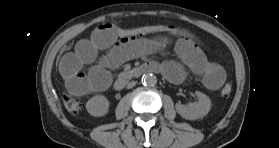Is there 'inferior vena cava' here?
<instances>
[{
  "mask_svg": "<svg viewBox=\"0 0 279 148\" xmlns=\"http://www.w3.org/2000/svg\"><path fill=\"white\" fill-rule=\"evenodd\" d=\"M136 85V81H131L130 83L127 84V88L130 89Z\"/></svg>",
  "mask_w": 279,
  "mask_h": 148,
  "instance_id": "obj_1",
  "label": "inferior vena cava"
}]
</instances>
